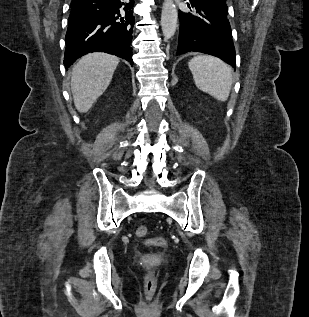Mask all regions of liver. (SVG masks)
<instances>
[{"instance_id":"obj_1","label":"liver","mask_w":309,"mask_h":317,"mask_svg":"<svg viewBox=\"0 0 309 317\" xmlns=\"http://www.w3.org/2000/svg\"><path fill=\"white\" fill-rule=\"evenodd\" d=\"M119 59L106 53H90L72 69L71 90L74 105L86 113L109 86Z\"/></svg>"}]
</instances>
